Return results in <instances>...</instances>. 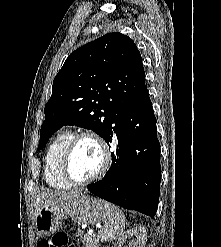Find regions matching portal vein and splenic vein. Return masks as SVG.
<instances>
[{
  "instance_id": "18ae733b",
  "label": "portal vein and splenic vein",
  "mask_w": 221,
  "mask_h": 247,
  "mask_svg": "<svg viewBox=\"0 0 221 247\" xmlns=\"http://www.w3.org/2000/svg\"><path fill=\"white\" fill-rule=\"evenodd\" d=\"M87 234H88V235H92V234H93V230H89V231L87 232Z\"/></svg>"
}]
</instances>
